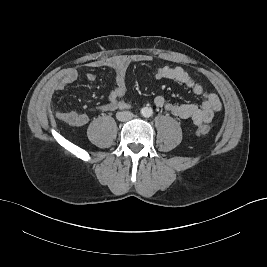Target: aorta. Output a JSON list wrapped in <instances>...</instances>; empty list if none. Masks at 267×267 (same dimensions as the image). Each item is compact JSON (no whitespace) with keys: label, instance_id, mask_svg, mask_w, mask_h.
I'll use <instances>...</instances> for the list:
<instances>
[{"label":"aorta","instance_id":"1","mask_svg":"<svg viewBox=\"0 0 267 267\" xmlns=\"http://www.w3.org/2000/svg\"><path fill=\"white\" fill-rule=\"evenodd\" d=\"M141 114H142L144 117L149 118V117L152 116V114H153V110H152L151 107H144V108H142V110H141Z\"/></svg>","mask_w":267,"mask_h":267}]
</instances>
